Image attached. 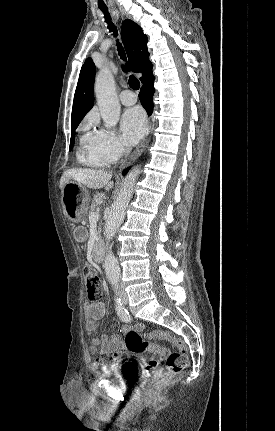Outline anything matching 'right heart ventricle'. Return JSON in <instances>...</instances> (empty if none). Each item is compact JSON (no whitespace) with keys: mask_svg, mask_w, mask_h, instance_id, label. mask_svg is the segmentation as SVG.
Segmentation results:
<instances>
[{"mask_svg":"<svg viewBox=\"0 0 275 431\" xmlns=\"http://www.w3.org/2000/svg\"><path fill=\"white\" fill-rule=\"evenodd\" d=\"M79 157H80L81 161H83L84 163H86L87 165L92 166V167H103V166L107 165L106 163H104L100 160H96V159L91 158L89 153L86 155L81 153Z\"/></svg>","mask_w":275,"mask_h":431,"instance_id":"e07e8e85","label":"right heart ventricle"}]
</instances>
